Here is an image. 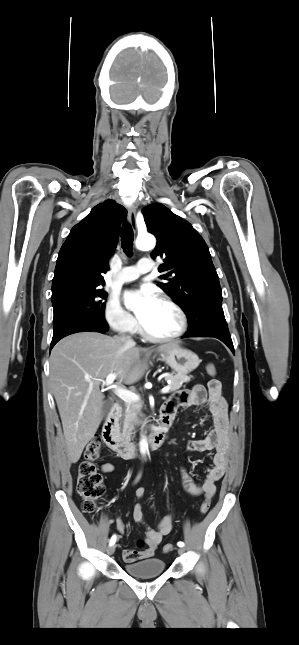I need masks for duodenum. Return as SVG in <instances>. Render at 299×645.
<instances>
[{
	"instance_id": "410a0bca",
	"label": "duodenum",
	"mask_w": 299,
	"mask_h": 645,
	"mask_svg": "<svg viewBox=\"0 0 299 645\" xmlns=\"http://www.w3.org/2000/svg\"><path fill=\"white\" fill-rule=\"evenodd\" d=\"M121 414V407L115 404L110 410L108 417L104 423L102 438L105 444L120 457L124 459H131L137 455V446L126 439H124L118 429L119 417ZM160 424L153 430L148 438V448H160L167 436L168 429L172 423V418L168 416L166 410L161 411Z\"/></svg>"
}]
</instances>
